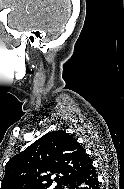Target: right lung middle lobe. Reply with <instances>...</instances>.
<instances>
[{
    "mask_svg": "<svg viewBox=\"0 0 124 189\" xmlns=\"http://www.w3.org/2000/svg\"><path fill=\"white\" fill-rule=\"evenodd\" d=\"M62 186L60 184H57L55 187L52 186V184L44 185L39 187L38 189H61Z\"/></svg>",
    "mask_w": 124,
    "mask_h": 189,
    "instance_id": "dd1d6c3e",
    "label": "right lung middle lobe"
}]
</instances>
